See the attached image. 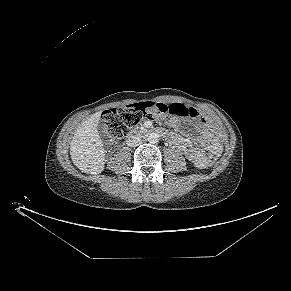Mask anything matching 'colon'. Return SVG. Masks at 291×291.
<instances>
[{"label": "colon", "instance_id": "colon-1", "mask_svg": "<svg viewBox=\"0 0 291 291\" xmlns=\"http://www.w3.org/2000/svg\"><path fill=\"white\" fill-rule=\"evenodd\" d=\"M167 116L195 118L198 116V112L194 108L182 103L144 102L124 108L106 110L102 115L103 129L108 136L114 139H121L142 120ZM217 160L218 155L211 154L208 164L214 165Z\"/></svg>", "mask_w": 291, "mask_h": 291}]
</instances>
